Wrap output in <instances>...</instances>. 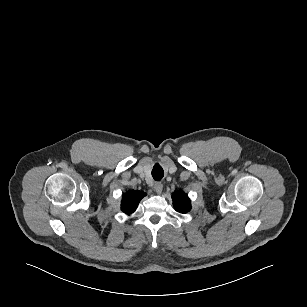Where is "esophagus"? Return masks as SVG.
Returning <instances> with one entry per match:
<instances>
[{"label":"esophagus","mask_w":307,"mask_h":307,"mask_svg":"<svg viewBox=\"0 0 307 307\" xmlns=\"http://www.w3.org/2000/svg\"><path fill=\"white\" fill-rule=\"evenodd\" d=\"M162 190H163V184L160 183V182H156V183L154 184V191H155L157 194H161Z\"/></svg>","instance_id":"obj_1"}]
</instances>
